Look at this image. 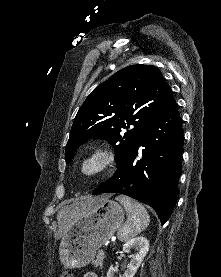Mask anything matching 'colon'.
Returning <instances> with one entry per match:
<instances>
[{
    "label": "colon",
    "instance_id": "colon-1",
    "mask_svg": "<svg viewBox=\"0 0 221 277\" xmlns=\"http://www.w3.org/2000/svg\"><path fill=\"white\" fill-rule=\"evenodd\" d=\"M62 277H74V276L71 272H66V273L63 274Z\"/></svg>",
    "mask_w": 221,
    "mask_h": 277
}]
</instances>
